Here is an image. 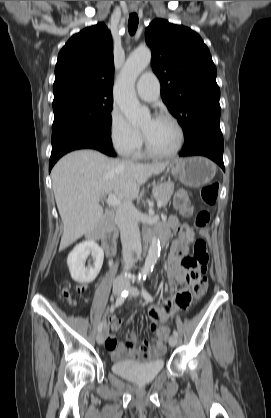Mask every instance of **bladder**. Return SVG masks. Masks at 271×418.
I'll use <instances>...</instances> for the list:
<instances>
[{
    "instance_id": "bladder-1",
    "label": "bladder",
    "mask_w": 271,
    "mask_h": 418,
    "mask_svg": "<svg viewBox=\"0 0 271 418\" xmlns=\"http://www.w3.org/2000/svg\"><path fill=\"white\" fill-rule=\"evenodd\" d=\"M164 368L165 361L162 354L144 361L118 360L112 365L116 375L136 384L152 382Z\"/></svg>"
}]
</instances>
